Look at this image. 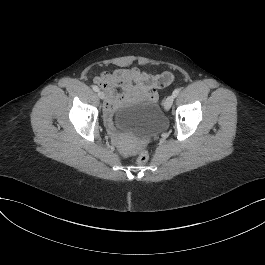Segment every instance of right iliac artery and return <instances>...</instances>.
<instances>
[{
	"label": "right iliac artery",
	"mask_w": 265,
	"mask_h": 265,
	"mask_svg": "<svg viewBox=\"0 0 265 265\" xmlns=\"http://www.w3.org/2000/svg\"><path fill=\"white\" fill-rule=\"evenodd\" d=\"M93 90H94L95 92H98V91H99L98 86H93Z\"/></svg>",
	"instance_id": "obj_1"
}]
</instances>
